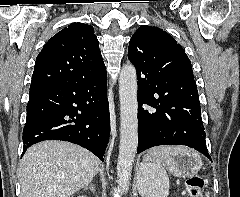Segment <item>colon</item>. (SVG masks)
Returning a JSON list of instances; mask_svg holds the SVG:
<instances>
[{
  "label": "colon",
  "mask_w": 240,
  "mask_h": 197,
  "mask_svg": "<svg viewBox=\"0 0 240 197\" xmlns=\"http://www.w3.org/2000/svg\"><path fill=\"white\" fill-rule=\"evenodd\" d=\"M205 180L202 175L195 174L190 176L186 181L187 194L189 197H203V188Z\"/></svg>",
  "instance_id": "1"
}]
</instances>
